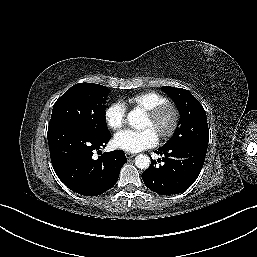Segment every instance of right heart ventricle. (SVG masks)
<instances>
[{
	"label": "right heart ventricle",
	"instance_id": "right-heart-ventricle-1",
	"mask_svg": "<svg viewBox=\"0 0 257 257\" xmlns=\"http://www.w3.org/2000/svg\"><path fill=\"white\" fill-rule=\"evenodd\" d=\"M168 98L157 91H146L139 94H135L126 99V103L136 109L148 111L153 109L165 102Z\"/></svg>",
	"mask_w": 257,
	"mask_h": 257
}]
</instances>
